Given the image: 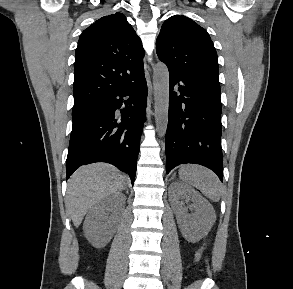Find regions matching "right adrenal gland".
I'll list each match as a JSON object with an SVG mask.
<instances>
[{
    "label": "right adrenal gland",
    "mask_w": 293,
    "mask_h": 289,
    "mask_svg": "<svg viewBox=\"0 0 293 289\" xmlns=\"http://www.w3.org/2000/svg\"><path fill=\"white\" fill-rule=\"evenodd\" d=\"M123 189L126 191V193H128V188H127V186H124Z\"/></svg>",
    "instance_id": "right-adrenal-gland-1"
}]
</instances>
